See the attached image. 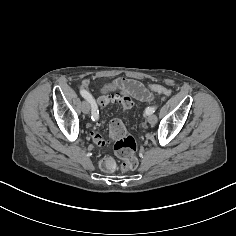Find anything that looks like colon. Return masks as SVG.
<instances>
[{"label":"colon","mask_w":236,"mask_h":236,"mask_svg":"<svg viewBox=\"0 0 236 236\" xmlns=\"http://www.w3.org/2000/svg\"><path fill=\"white\" fill-rule=\"evenodd\" d=\"M127 87H129V85H127ZM133 88L136 89L137 86L133 85ZM148 88L151 92L159 95L167 97L172 95L170 89L158 84H151ZM98 103L101 107L116 105L124 110H128L132 107L131 98L119 92L103 94L99 97ZM109 136L113 142L115 154L123 161L121 169L124 171L136 169L138 166V160L135 156L136 142L134 137L128 133L124 123L120 119H113L109 123ZM93 141L97 146H104L106 144V141L98 131L93 133ZM100 165L106 172L114 171L117 168L115 161L111 158H104Z\"/></svg>","instance_id":"1"}]
</instances>
